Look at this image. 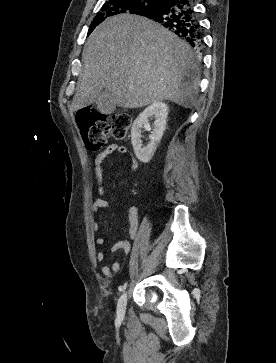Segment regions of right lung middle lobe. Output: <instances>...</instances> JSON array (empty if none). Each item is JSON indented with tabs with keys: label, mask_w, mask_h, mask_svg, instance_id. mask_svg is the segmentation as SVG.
I'll return each mask as SVG.
<instances>
[{
	"label": "right lung middle lobe",
	"mask_w": 276,
	"mask_h": 363,
	"mask_svg": "<svg viewBox=\"0 0 276 363\" xmlns=\"http://www.w3.org/2000/svg\"><path fill=\"white\" fill-rule=\"evenodd\" d=\"M157 3L154 0H109L94 17L88 35L107 18L118 14H138Z\"/></svg>",
	"instance_id": "1"
}]
</instances>
